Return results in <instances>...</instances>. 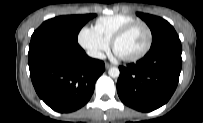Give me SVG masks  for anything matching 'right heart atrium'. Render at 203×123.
<instances>
[{
	"mask_svg": "<svg viewBox=\"0 0 203 123\" xmlns=\"http://www.w3.org/2000/svg\"><path fill=\"white\" fill-rule=\"evenodd\" d=\"M78 43L93 58L100 59L109 49V42L93 27L84 26L78 33Z\"/></svg>",
	"mask_w": 203,
	"mask_h": 123,
	"instance_id": "right-heart-atrium-1",
	"label": "right heart atrium"
}]
</instances>
